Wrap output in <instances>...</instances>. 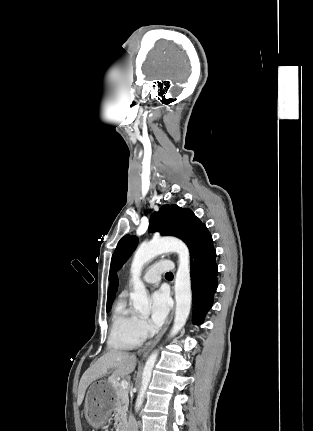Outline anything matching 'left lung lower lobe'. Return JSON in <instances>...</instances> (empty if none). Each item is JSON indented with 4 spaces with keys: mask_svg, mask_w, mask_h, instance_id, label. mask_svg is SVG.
Here are the masks:
<instances>
[{
    "mask_svg": "<svg viewBox=\"0 0 313 431\" xmlns=\"http://www.w3.org/2000/svg\"><path fill=\"white\" fill-rule=\"evenodd\" d=\"M216 251L205 227L190 250L191 287L193 294V324L199 325L213 304L217 289Z\"/></svg>",
    "mask_w": 313,
    "mask_h": 431,
    "instance_id": "obj_1",
    "label": "left lung lower lobe"
}]
</instances>
